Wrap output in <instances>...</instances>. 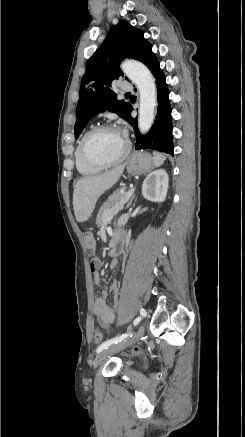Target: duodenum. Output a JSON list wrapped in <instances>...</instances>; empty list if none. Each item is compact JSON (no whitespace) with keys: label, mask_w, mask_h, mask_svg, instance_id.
<instances>
[{"label":"duodenum","mask_w":245,"mask_h":437,"mask_svg":"<svg viewBox=\"0 0 245 437\" xmlns=\"http://www.w3.org/2000/svg\"><path fill=\"white\" fill-rule=\"evenodd\" d=\"M125 242V234L123 231H118L115 236L113 244L109 248L108 255L110 257V268H115L117 265V258L121 252L122 246Z\"/></svg>","instance_id":"duodenum-1"}]
</instances>
